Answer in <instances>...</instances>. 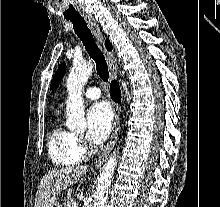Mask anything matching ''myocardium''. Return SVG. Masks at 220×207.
I'll return each instance as SVG.
<instances>
[{"instance_id": "1", "label": "myocardium", "mask_w": 220, "mask_h": 207, "mask_svg": "<svg viewBox=\"0 0 220 207\" xmlns=\"http://www.w3.org/2000/svg\"><path fill=\"white\" fill-rule=\"evenodd\" d=\"M82 151H83V153H86V152H87L86 149H84V148L82 149Z\"/></svg>"}]
</instances>
